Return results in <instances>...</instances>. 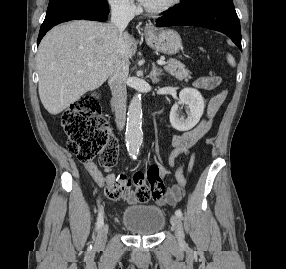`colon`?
<instances>
[{
  "label": "colon",
  "mask_w": 286,
  "mask_h": 269,
  "mask_svg": "<svg viewBox=\"0 0 286 269\" xmlns=\"http://www.w3.org/2000/svg\"><path fill=\"white\" fill-rule=\"evenodd\" d=\"M184 58L183 54L179 55ZM196 78L195 88L213 91L210 100H205L203 110H220L226 98L222 78ZM220 91V92H218ZM62 126L68 136L69 151L81 162H91L99 156L103 168H112L118 157V141L111 134L108 122L101 116L98 97L88 94L74 101L62 115ZM146 173H136L132 178L119 175L106 188V196L111 200H119L127 196L131 190L140 202L150 197L160 198L165 194L163 183L165 163H148Z\"/></svg>",
  "instance_id": "5ec220e1"
}]
</instances>
